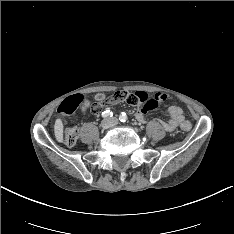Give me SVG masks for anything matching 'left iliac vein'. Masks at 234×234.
<instances>
[{
	"mask_svg": "<svg viewBox=\"0 0 234 234\" xmlns=\"http://www.w3.org/2000/svg\"><path fill=\"white\" fill-rule=\"evenodd\" d=\"M111 122H112L113 125H116V124L118 123V120L115 119V118H113V119L111 120Z\"/></svg>",
	"mask_w": 234,
	"mask_h": 234,
	"instance_id": "4c4485c4",
	"label": "left iliac vein"
}]
</instances>
